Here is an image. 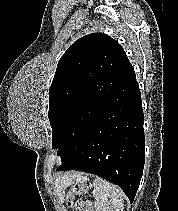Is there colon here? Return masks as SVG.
<instances>
[{
    "label": "colon",
    "mask_w": 178,
    "mask_h": 211,
    "mask_svg": "<svg viewBox=\"0 0 178 211\" xmlns=\"http://www.w3.org/2000/svg\"><path fill=\"white\" fill-rule=\"evenodd\" d=\"M88 188L89 186L86 184H81V183L73 184L65 195V201L67 205L73 207L76 203V197Z\"/></svg>",
    "instance_id": "colon-1"
}]
</instances>
